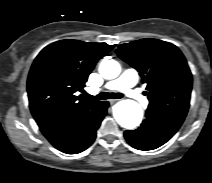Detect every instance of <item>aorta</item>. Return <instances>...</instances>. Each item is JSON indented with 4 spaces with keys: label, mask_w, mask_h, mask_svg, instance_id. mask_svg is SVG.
<instances>
[{
    "label": "aorta",
    "mask_w": 212,
    "mask_h": 183,
    "mask_svg": "<svg viewBox=\"0 0 212 183\" xmlns=\"http://www.w3.org/2000/svg\"><path fill=\"white\" fill-rule=\"evenodd\" d=\"M120 71V64L115 60L105 59L99 66V73L105 79L116 78ZM113 115L121 127L134 129L141 123L143 111L137 102L122 100L115 105Z\"/></svg>",
    "instance_id": "1"
}]
</instances>
